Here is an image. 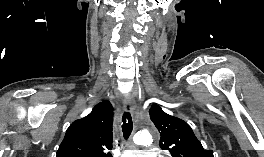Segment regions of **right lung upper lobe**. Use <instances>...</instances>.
Wrapping results in <instances>:
<instances>
[{
    "label": "right lung upper lobe",
    "mask_w": 264,
    "mask_h": 157,
    "mask_svg": "<svg viewBox=\"0 0 264 157\" xmlns=\"http://www.w3.org/2000/svg\"><path fill=\"white\" fill-rule=\"evenodd\" d=\"M113 108L109 101L74 121L66 131L56 157H111Z\"/></svg>",
    "instance_id": "cb5924a9"
}]
</instances>
